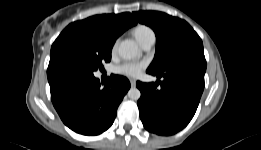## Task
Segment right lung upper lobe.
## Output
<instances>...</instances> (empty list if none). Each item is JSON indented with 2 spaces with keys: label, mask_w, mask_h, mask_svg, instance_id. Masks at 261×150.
<instances>
[{
  "label": "right lung upper lobe",
  "mask_w": 261,
  "mask_h": 150,
  "mask_svg": "<svg viewBox=\"0 0 261 150\" xmlns=\"http://www.w3.org/2000/svg\"><path fill=\"white\" fill-rule=\"evenodd\" d=\"M137 22L132 18L131 14H103L89 17L85 20L73 22L69 24L63 31L73 28H89L101 32L111 40L116 39L128 28L136 25Z\"/></svg>",
  "instance_id": "cb5924a9"
}]
</instances>
